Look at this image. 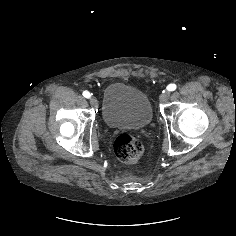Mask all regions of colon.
I'll return each mask as SVG.
<instances>
[{
  "mask_svg": "<svg viewBox=\"0 0 236 236\" xmlns=\"http://www.w3.org/2000/svg\"><path fill=\"white\" fill-rule=\"evenodd\" d=\"M114 150L119 160L127 164H133L143 156L145 147L140 138L124 133L116 138Z\"/></svg>",
  "mask_w": 236,
  "mask_h": 236,
  "instance_id": "obj_1",
  "label": "colon"
}]
</instances>
